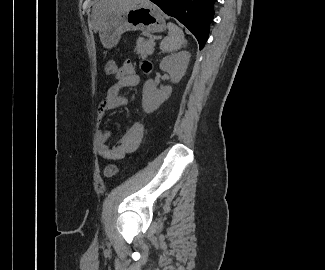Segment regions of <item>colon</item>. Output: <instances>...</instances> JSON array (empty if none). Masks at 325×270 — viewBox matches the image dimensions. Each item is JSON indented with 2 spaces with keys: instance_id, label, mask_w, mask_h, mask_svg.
<instances>
[{
  "instance_id": "obj_1",
  "label": "colon",
  "mask_w": 325,
  "mask_h": 270,
  "mask_svg": "<svg viewBox=\"0 0 325 270\" xmlns=\"http://www.w3.org/2000/svg\"><path fill=\"white\" fill-rule=\"evenodd\" d=\"M118 70L117 63L114 59H109L105 64V73L109 76L115 75ZM104 176L105 177H112L117 173V167L115 165H108L104 169Z\"/></svg>"
}]
</instances>
